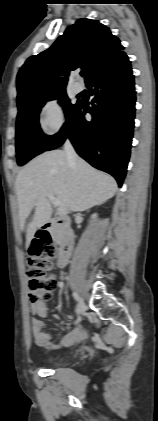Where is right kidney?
I'll return each mask as SVG.
<instances>
[{
  "mask_svg": "<svg viewBox=\"0 0 158 421\" xmlns=\"http://www.w3.org/2000/svg\"><path fill=\"white\" fill-rule=\"evenodd\" d=\"M96 217H97V214H93V215L91 216V219H92V220H94V219H96Z\"/></svg>",
  "mask_w": 158,
  "mask_h": 421,
  "instance_id": "1",
  "label": "right kidney"
}]
</instances>
